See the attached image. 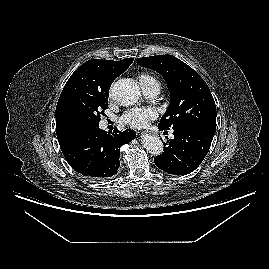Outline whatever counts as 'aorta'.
<instances>
[{"label": "aorta", "instance_id": "obj_1", "mask_svg": "<svg viewBox=\"0 0 269 269\" xmlns=\"http://www.w3.org/2000/svg\"><path fill=\"white\" fill-rule=\"evenodd\" d=\"M112 98L121 106H130L138 101L140 88L132 79H120L111 88ZM144 148L152 155L163 153V143L158 136L144 134L141 136Z\"/></svg>", "mask_w": 269, "mask_h": 269}]
</instances>
